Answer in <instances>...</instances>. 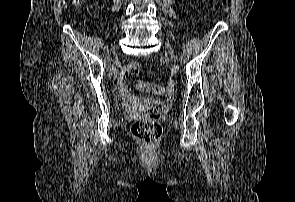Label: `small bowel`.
Masks as SVG:
<instances>
[{
  "label": "small bowel",
  "instance_id": "1",
  "mask_svg": "<svg viewBox=\"0 0 295 202\" xmlns=\"http://www.w3.org/2000/svg\"><path fill=\"white\" fill-rule=\"evenodd\" d=\"M117 90H120L118 98H128V102H124V107H153V102H149V98H129L125 81H118Z\"/></svg>",
  "mask_w": 295,
  "mask_h": 202
}]
</instances>
